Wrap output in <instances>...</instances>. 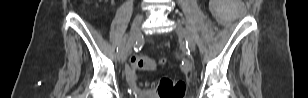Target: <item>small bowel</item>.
I'll list each match as a JSON object with an SVG mask.
<instances>
[{
	"label": "small bowel",
	"instance_id": "obj_1",
	"mask_svg": "<svg viewBox=\"0 0 308 98\" xmlns=\"http://www.w3.org/2000/svg\"><path fill=\"white\" fill-rule=\"evenodd\" d=\"M128 75H129V77H130L131 79H133V77H134L133 71L129 70Z\"/></svg>",
	"mask_w": 308,
	"mask_h": 98
}]
</instances>
